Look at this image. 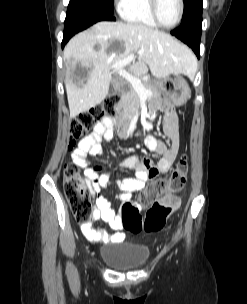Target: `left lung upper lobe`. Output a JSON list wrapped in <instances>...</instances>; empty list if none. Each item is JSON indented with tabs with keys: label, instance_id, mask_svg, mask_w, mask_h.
Returning <instances> with one entry per match:
<instances>
[{
	"label": "left lung upper lobe",
	"instance_id": "left-lung-upper-lobe-1",
	"mask_svg": "<svg viewBox=\"0 0 247 304\" xmlns=\"http://www.w3.org/2000/svg\"><path fill=\"white\" fill-rule=\"evenodd\" d=\"M184 12L181 25L197 17H202L203 0H183Z\"/></svg>",
	"mask_w": 247,
	"mask_h": 304
}]
</instances>
